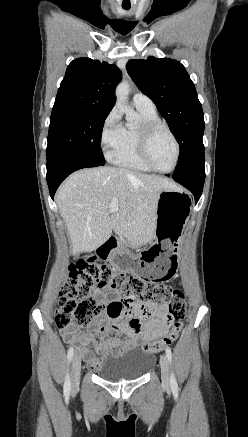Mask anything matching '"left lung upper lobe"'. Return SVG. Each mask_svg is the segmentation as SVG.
<instances>
[{
	"mask_svg": "<svg viewBox=\"0 0 248 437\" xmlns=\"http://www.w3.org/2000/svg\"><path fill=\"white\" fill-rule=\"evenodd\" d=\"M127 71L137 87L157 106L180 146L173 175L192 170L204 161V115L184 66L172 59L130 60Z\"/></svg>",
	"mask_w": 248,
	"mask_h": 437,
	"instance_id": "left-lung-upper-lobe-1",
	"label": "left lung upper lobe"
}]
</instances>
